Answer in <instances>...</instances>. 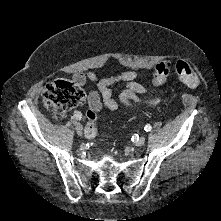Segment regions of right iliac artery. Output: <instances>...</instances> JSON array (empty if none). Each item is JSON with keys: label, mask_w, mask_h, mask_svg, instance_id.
Listing matches in <instances>:
<instances>
[{"label": "right iliac artery", "mask_w": 221, "mask_h": 221, "mask_svg": "<svg viewBox=\"0 0 221 221\" xmlns=\"http://www.w3.org/2000/svg\"><path fill=\"white\" fill-rule=\"evenodd\" d=\"M74 116L77 120H81V118H82V114L79 111H75Z\"/></svg>", "instance_id": "82829eb1"}]
</instances>
